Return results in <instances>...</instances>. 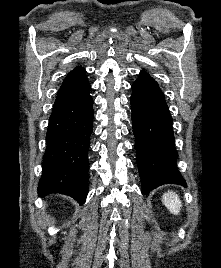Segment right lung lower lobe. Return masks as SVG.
Instances as JSON below:
<instances>
[{
  "mask_svg": "<svg viewBox=\"0 0 221 268\" xmlns=\"http://www.w3.org/2000/svg\"><path fill=\"white\" fill-rule=\"evenodd\" d=\"M93 100L82 97L54 104L46 134L39 196L60 193L84 204L88 192L87 154L93 131Z\"/></svg>",
  "mask_w": 221,
  "mask_h": 268,
  "instance_id": "98d812e1",
  "label": "right lung lower lobe"
}]
</instances>
